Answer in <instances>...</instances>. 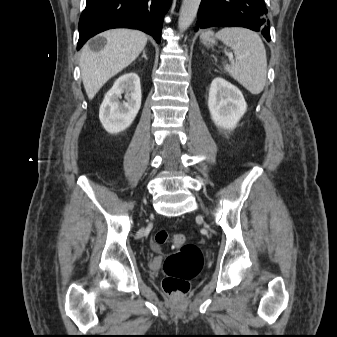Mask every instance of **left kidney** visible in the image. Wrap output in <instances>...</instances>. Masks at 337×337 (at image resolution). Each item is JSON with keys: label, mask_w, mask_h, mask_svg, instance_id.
<instances>
[{"label": "left kidney", "mask_w": 337, "mask_h": 337, "mask_svg": "<svg viewBox=\"0 0 337 337\" xmlns=\"http://www.w3.org/2000/svg\"><path fill=\"white\" fill-rule=\"evenodd\" d=\"M208 108L216 126L234 129L247 110L241 91L221 77H216L210 86Z\"/></svg>", "instance_id": "obj_1"}]
</instances>
